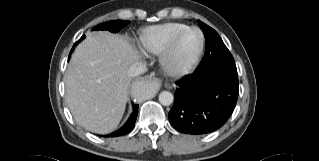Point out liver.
I'll return each instance as SVG.
<instances>
[{
	"label": "liver",
	"instance_id": "1",
	"mask_svg": "<svg viewBox=\"0 0 319 161\" xmlns=\"http://www.w3.org/2000/svg\"><path fill=\"white\" fill-rule=\"evenodd\" d=\"M140 58L129 42L108 32L91 33L77 46L65 83L68 107L80 126L99 134L118 126L128 99V71Z\"/></svg>",
	"mask_w": 319,
	"mask_h": 161
}]
</instances>
